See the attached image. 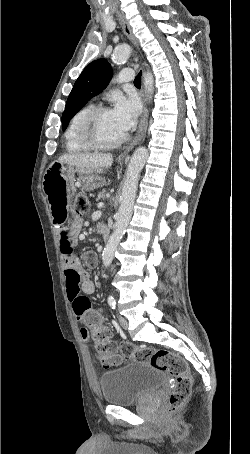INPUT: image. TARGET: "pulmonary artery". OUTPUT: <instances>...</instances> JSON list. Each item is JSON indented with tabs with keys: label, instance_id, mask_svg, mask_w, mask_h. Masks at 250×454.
I'll list each match as a JSON object with an SVG mask.
<instances>
[{
	"label": "pulmonary artery",
	"instance_id": "1",
	"mask_svg": "<svg viewBox=\"0 0 250 454\" xmlns=\"http://www.w3.org/2000/svg\"><path fill=\"white\" fill-rule=\"evenodd\" d=\"M133 78H134L133 71L129 68H126V69L120 70V72L118 73V75L116 77V81L120 82V83H128L131 80H133Z\"/></svg>",
	"mask_w": 250,
	"mask_h": 454
}]
</instances>
